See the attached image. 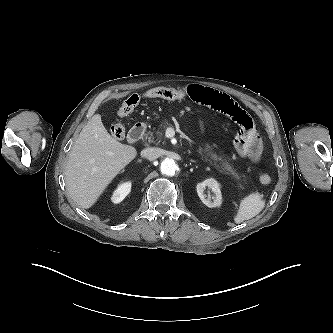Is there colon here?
<instances>
[{"mask_svg": "<svg viewBox=\"0 0 333 333\" xmlns=\"http://www.w3.org/2000/svg\"><path fill=\"white\" fill-rule=\"evenodd\" d=\"M188 97V93L183 89L156 87L144 91L140 94L129 95L122 103L117 111V119L111 125V134L117 139H122L125 136V128L122 124V120L128 116L138 105L141 98H162L166 100H178ZM259 181L263 185H267L271 182L270 175L263 173L259 177Z\"/></svg>", "mask_w": 333, "mask_h": 333, "instance_id": "5ec220e1", "label": "colon"}]
</instances>
